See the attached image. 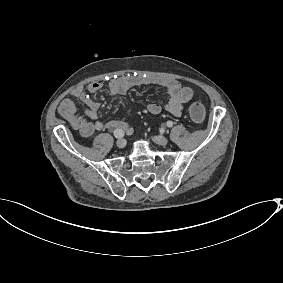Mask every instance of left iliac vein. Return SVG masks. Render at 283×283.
Listing matches in <instances>:
<instances>
[{
	"label": "left iliac vein",
	"mask_w": 283,
	"mask_h": 283,
	"mask_svg": "<svg viewBox=\"0 0 283 283\" xmlns=\"http://www.w3.org/2000/svg\"><path fill=\"white\" fill-rule=\"evenodd\" d=\"M152 139L158 145L164 146V145H166L168 143V139L166 137H164V136H160V135L159 136H154Z\"/></svg>",
	"instance_id": "left-iliac-vein-1"
}]
</instances>
